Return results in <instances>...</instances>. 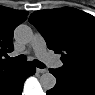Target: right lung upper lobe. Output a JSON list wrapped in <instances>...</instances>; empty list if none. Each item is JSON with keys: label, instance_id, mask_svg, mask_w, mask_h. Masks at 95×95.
I'll return each instance as SVG.
<instances>
[{"label": "right lung upper lobe", "instance_id": "obj_1", "mask_svg": "<svg viewBox=\"0 0 95 95\" xmlns=\"http://www.w3.org/2000/svg\"><path fill=\"white\" fill-rule=\"evenodd\" d=\"M28 12L0 6V85L5 83L19 70L21 63L3 59L7 52H12L14 29L27 19Z\"/></svg>", "mask_w": 95, "mask_h": 95}]
</instances>
